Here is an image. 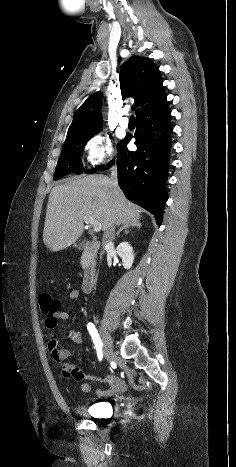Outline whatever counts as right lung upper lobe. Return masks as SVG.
I'll return each mask as SVG.
<instances>
[{
  "label": "right lung upper lobe",
  "mask_w": 236,
  "mask_h": 467,
  "mask_svg": "<svg viewBox=\"0 0 236 467\" xmlns=\"http://www.w3.org/2000/svg\"><path fill=\"white\" fill-rule=\"evenodd\" d=\"M120 88L124 97H135L136 117L164 99L159 68L150 59L131 56L121 67ZM102 94L96 92L76 111L68 134L101 129Z\"/></svg>",
  "instance_id": "obj_1"
}]
</instances>
